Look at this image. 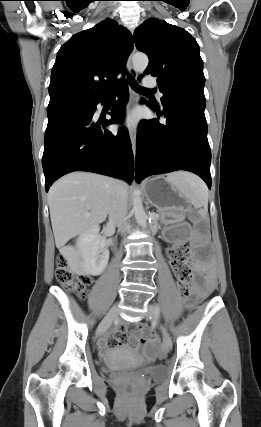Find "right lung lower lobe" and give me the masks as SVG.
<instances>
[{"mask_svg": "<svg viewBox=\"0 0 261 427\" xmlns=\"http://www.w3.org/2000/svg\"><path fill=\"white\" fill-rule=\"evenodd\" d=\"M111 120H93L96 105L89 111L67 112L48 117L42 165L45 189L61 176L73 171H88L132 182L134 158L125 129L112 134L105 127L123 118L128 86L123 82ZM104 102V101H103Z\"/></svg>", "mask_w": 261, "mask_h": 427, "instance_id": "98d812e1", "label": "right lung lower lobe"}]
</instances>
